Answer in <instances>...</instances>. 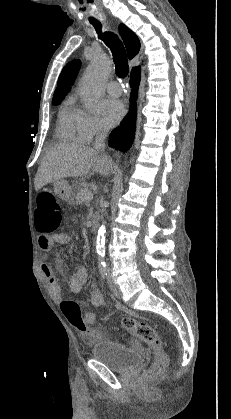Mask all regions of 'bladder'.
<instances>
[{
	"mask_svg": "<svg viewBox=\"0 0 231 419\" xmlns=\"http://www.w3.org/2000/svg\"><path fill=\"white\" fill-rule=\"evenodd\" d=\"M91 357L104 363L112 371L121 373L132 372L146 360L140 352L109 340L97 341L92 346Z\"/></svg>",
	"mask_w": 231,
	"mask_h": 419,
	"instance_id": "bladder-1",
	"label": "bladder"
}]
</instances>
